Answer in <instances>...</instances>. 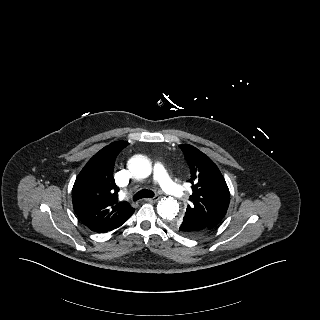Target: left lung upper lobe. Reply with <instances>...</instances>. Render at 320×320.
Returning <instances> with one entry per match:
<instances>
[{"instance_id":"left-lung-upper-lobe-1","label":"left lung upper lobe","mask_w":320,"mask_h":320,"mask_svg":"<svg viewBox=\"0 0 320 320\" xmlns=\"http://www.w3.org/2000/svg\"><path fill=\"white\" fill-rule=\"evenodd\" d=\"M189 164L192 194L184 216H191L205 227L214 229L224 218L230 192L220 170L203 152L192 145H179ZM179 221L172 222L177 228Z\"/></svg>"}]
</instances>
